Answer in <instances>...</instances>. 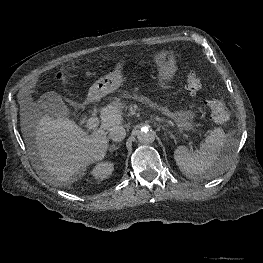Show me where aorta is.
Segmentation results:
<instances>
[{"mask_svg":"<svg viewBox=\"0 0 263 263\" xmlns=\"http://www.w3.org/2000/svg\"><path fill=\"white\" fill-rule=\"evenodd\" d=\"M138 141L143 145H148L154 142L155 132L148 128H143L138 132Z\"/></svg>","mask_w":263,"mask_h":263,"instance_id":"1","label":"aorta"}]
</instances>
